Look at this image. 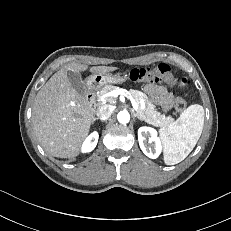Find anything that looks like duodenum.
<instances>
[{"label":"duodenum","mask_w":231,"mask_h":231,"mask_svg":"<svg viewBox=\"0 0 231 231\" xmlns=\"http://www.w3.org/2000/svg\"><path fill=\"white\" fill-rule=\"evenodd\" d=\"M94 90H95V84L94 83H88L86 86V100L90 105L94 104Z\"/></svg>","instance_id":"duodenum-1"}]
</instances>
